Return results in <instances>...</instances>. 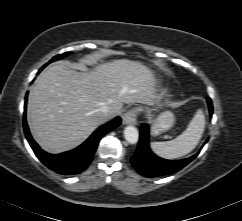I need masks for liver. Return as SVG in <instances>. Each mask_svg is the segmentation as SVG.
Wrapping results in <instances>:
<instances>
[{
	"instance_id": "liver-1",
	"label": "liver",
	"mask_w": 242,
	"mask_h": 221,
	"mask_svg": "<svg viewBox=\"0 0 242 221\" xmlns=\"http://www.w3.org/2000/svg\"><path fill=\"white\" fill-rule=\"evenodd\" d=\"M157 81L153 71L138 61L113 60L77 72L64 64L42 72L32 87L27 106L31 134L50 153L76 148L107 118L99 111L109 106L118 114L123 104L152 105Z\"/></svg>"
}]
</instances>
